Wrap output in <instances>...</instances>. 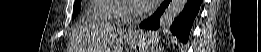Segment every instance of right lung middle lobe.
<instances>
[{"instance_id": "dd1d6c3e", "label": "right lung middle lobe", "mask_w": 261, "mask_h": 52, "mask_svg": "<svg viewBox=\"0 0 261 52\" xmlns=\"http://www.w3.org/2000/svg\"><path fill=\"white\" fill-rule=\"evenodd\" d=\"M80 10V1L74 3V7H73V17H75L78 13V11Z\"/></svg>"}]
</instances>
